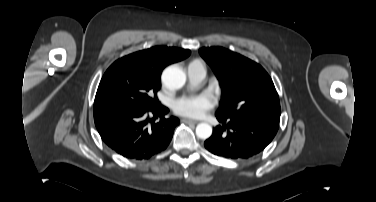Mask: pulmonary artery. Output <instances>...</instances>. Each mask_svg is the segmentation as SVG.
Masks as SVG:
<instances>
[{"label": "pulmonary artery", "mask_w": 376, "mask_h": 202, "mask_svg": "<svg viewBox=\"0 0 376 202\" xmlns=\"http://www.w3.org/2000/svg\"><path fill=\"white\" fill-rule=\"evenodd\" d=\"M188 76L192 83H200L206 76V67L200 61H194L188 66Z\"/></svg>", "instance_id": "obj_1"}]
</instances>
